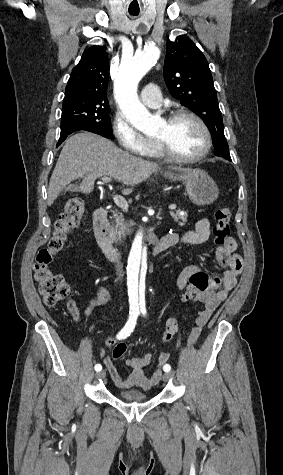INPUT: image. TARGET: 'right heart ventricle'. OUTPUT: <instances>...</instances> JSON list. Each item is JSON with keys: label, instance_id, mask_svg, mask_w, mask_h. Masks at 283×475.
Returning a JSON list of instances; mask_svg holds the SVG:
<instances>
[{"label": "right heart ventricle", "instance_id": "right-heart-ventricle-1", "mask_svg": "<svg viewBox=\"0 0 283 475\" xmlns=\"http://www.w3.org/2000/svg\"><path fill=\"white\" fill-rule=\"evenodd\" d=\"M150 154H151V156H153V157H159V158H160V156H159V154H158V151H157V149H156V144H155V142L152 143V148H151Z\"/></svg>", "mask_w": 283, "mask_h": 475}]
</instances>
